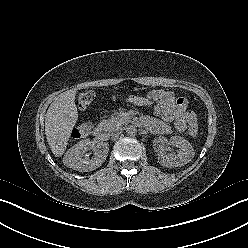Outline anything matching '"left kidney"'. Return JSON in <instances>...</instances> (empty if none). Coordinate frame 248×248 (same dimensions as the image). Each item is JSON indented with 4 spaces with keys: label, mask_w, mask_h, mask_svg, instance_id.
Segmentation results:
<instances>
[{
    "label": "left kidney",
    "mask_w": 248,
    "mask_h": 248,
    "mask_svg": "<svg viewBox=\"0 0 248 248\" xmlns=\"http://www.w3.org/2000/svg\"><path fill=\"white\" fill-rule=\"evenodd\" d=\"M169 143L178 148L177 154H158L159 164L165 167H178L184 166L193 159L194 149L186 139L181 136H172Z\"/></svg>",
    "instance_id": "5707ae66"
}]
</instances>
